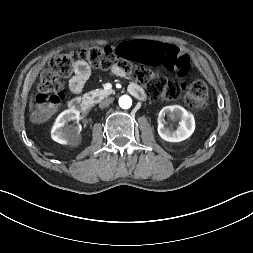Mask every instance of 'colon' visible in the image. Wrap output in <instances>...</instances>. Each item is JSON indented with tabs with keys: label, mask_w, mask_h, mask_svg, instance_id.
<instances>
[{
	"label": "colon",
	"mask_w": 253,
	"mask_h": 253,
	"mask_svg": "<svg viewBox=\"0 0 253 253\" xmlns=\"http://www.w3.org/2000/svg\"><path fill=\"white\" fill-rule=\"evenodd\" d=\"M78 61H84L95 68L118 67L144 86L153 98L170 101L184 94L186 104L192 109L203 111L209 107V92L203 81L186 83L172 80L163 74L137 66L159 68L171 76L186 75L192 69V60L182 48L167 41L127 40L118 48L92 46L55 55L40 77L34 112L37 121L48 119L56 111L64 95L65 79Z\"/></svg>",
	"instance_id": "5ec220e1"
}]
</instances>
